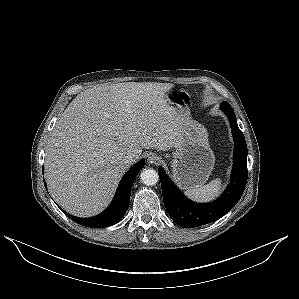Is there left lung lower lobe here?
I'll return each mask as SVG.
<instances>
[{"label": "left lung lower lobe", "instance_id": "obj_1", "mask_svg": "<svg viewBox=\"0 0 299 299\" xmlns=\"http://www.w3.org/2000/svg\"><path fill=\"white\" fill-rule=\"evenodd\" d=\"M221 109L227 115L233 138L234 158L231 182L224 194L212 203L198 204L188 200L173 184L162 168L158 169L164 205L173 221L184 228H194L213 222L229 212L242 196L247 181V145L236 121L235 113L227 102Z\"/></svg>", "mask_w": 299, "mask_h": 299}]
</instances>
